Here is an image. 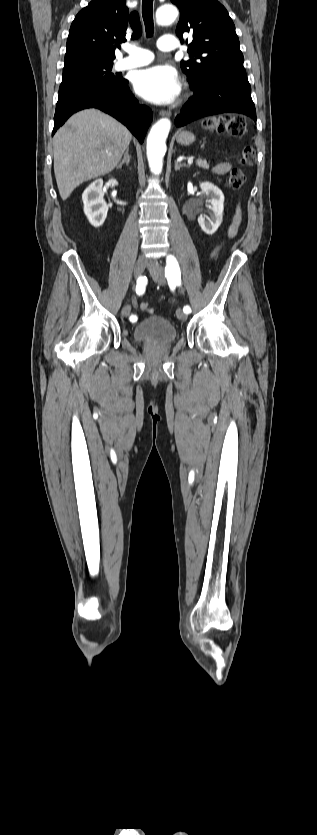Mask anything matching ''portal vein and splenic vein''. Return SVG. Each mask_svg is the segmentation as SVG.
<instances>
[{
  "mask_svg": "<svg viewBox=\"0 0 317 835\" xmlns=\"http://www.w3.org/2000/svg\"><path fill=\"white\" fill-rule=\"evenodd\" d=\"M192 161H193V159H192V158H190V159L188 160V163H192Z\"/></svg>",
  "mask_w": 317,
  "mask_h": 835,
  "instance_id": "obj_1",
  "label": "portal vein and splenic vein"
}]
</instances>
